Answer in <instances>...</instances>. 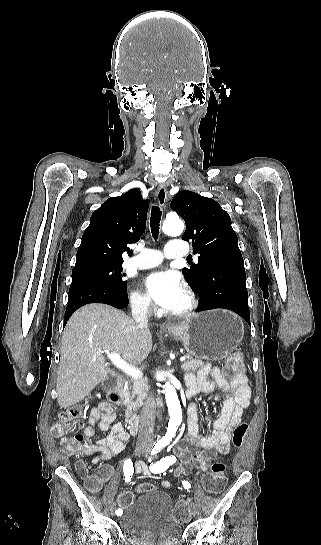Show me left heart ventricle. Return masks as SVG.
Here are the masks:
<instances>
[{
    "instance_id": "obj_1",
    "label": "left heart ventricle",
    "mask_w": 321,
    "mask_h": 545,
    "mask_svg": "<svg viewBox=\"0 0 321 545\" xmlns=\"http://www.w3.org/2000/svg\"><path fill=\"white\" fill-rule=\"evenodd\" d=\"M187 306H188V298L183 290L172 312L181 311L185 309Z\"/></svg>"
}]
</instances>
